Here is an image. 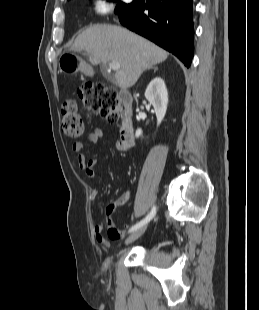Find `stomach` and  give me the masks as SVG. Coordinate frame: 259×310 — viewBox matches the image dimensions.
<instances>
[{"label": "stomach", "instance_id": "1", "mask_svg": "<svg viewBox=\"0 0 259 310\" xmlns=\"http://www.w3.org/2000/svg\"><path fill=\"white\" fill-rule=\"evenodd\" d=\"M59 69L65 73H75L81 71L83 73H89L90 67L83 62L75 51H66L59 57L58 60Z\"/></svg>", "mask_w": 259, "mask_h": 310}]
</instances>
